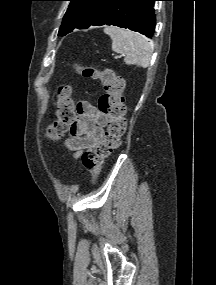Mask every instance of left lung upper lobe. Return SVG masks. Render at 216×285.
Segmentation results:
<instances>
[{"mask_svg": "<svg viewBox=\"0 0 216 285\" xmlns=\"http://www.w3.org/2000/svg\"><path fill=\"white\" fill-rule=\"evenodd\" d=\"M58 35L64 36L74 29H85L113 0H68Z\"/></svg>", "mask_w": 216, "mask_h": 285, "instance_id": "obj_1", "label": "left lung upper lobe"}]
</instances>
